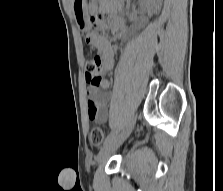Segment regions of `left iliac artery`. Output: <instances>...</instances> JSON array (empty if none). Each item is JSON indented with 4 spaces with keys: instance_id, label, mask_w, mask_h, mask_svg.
I'll list each match as a JSON object with an SVG mask.
<instances>
[{
    "instance_id": "44dca946",
    "label": "left iliac artery",
    "mask_w": 223,
    "mask_h": 191,
    "mask_svg": "<svg viewBox=\"0 0 223 191\" xmlns=\"http://www.w3.org/2000/svg\"><path fill=\"white\" fill-rule=\"evenodd\" d=\"M116 133H117V131H113V132H111V133L106 137V139H105V141H104V145H105L106 143H108L109 141H111V140L115 137Z\"/></svg>"
}]
</instances>
